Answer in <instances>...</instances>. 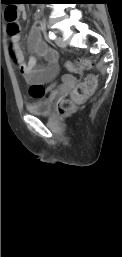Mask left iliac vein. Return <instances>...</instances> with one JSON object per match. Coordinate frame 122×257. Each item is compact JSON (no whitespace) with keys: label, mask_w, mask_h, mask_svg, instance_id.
<instances>
[{"label":"left iliac vein","mask_w":122,"mask_h":257,"mask_svg":"<svg viewBox=\"0 0 122 257\" xmlns=\"http://www.w3.org/2000/svg\"><path fill=\"white\" fill-rule=\"evenodd\" d=\"M56 44L61 47V48H65L67 46V43L65 42V40L63 39V37L58 36L55 40Z\"/></svg>","instance_id":"obj_1"}]
</instances>
